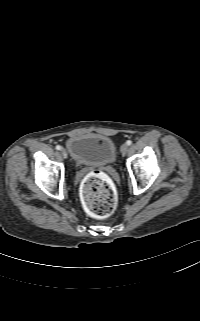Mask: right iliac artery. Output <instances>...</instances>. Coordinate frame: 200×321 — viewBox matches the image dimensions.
Instances as JSON below:
<instances>
[{
	"label": "right iliac artery",
	"instance_id": "right-iliac-artery-1",
	"mask_svg": "<svg viewBox=\"0 0 200 321\" xmlns=\"http://www.w3.org/2000/svg\"><path fill=\"white\" fill-rule=\"evenodd\" d=\"M61 148H62V147H61L60 145H57V146H56V149H57V150H61Z\"/></svg>",
	"mask_w": 200,
	"mask_h": 321
}]
</instances>
